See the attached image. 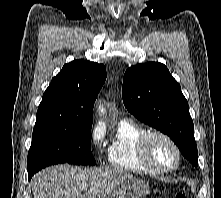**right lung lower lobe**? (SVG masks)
Returning a JSON list of instances; mask_svg holds the SVG:
<instances>
[{"mask_svg":"<svg viewBox=\"0 0 221 198\" xmlns=\"http://www.w3.org/2000/svg\"><path fill=\"white\" fill-rule=\"evenodd\" d=\"M32 176H33V175H28L29 180L31 179Z\"/></svg>","mask_w":221,"mask_h":198,"instance_id":"right-lung-lower-lobe-1","label":"right lung lower lobe"}]
</instances>
